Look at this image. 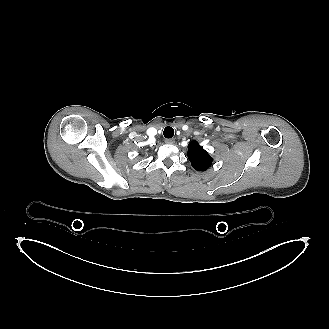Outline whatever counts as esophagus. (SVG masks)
Segmentation results:
<instances>
[{"label":"esophagus","mask_w":329,"mask_h":329,"mask_svg":"<svg viewBox=\"0 0 329 329\" xmlns=\"http://www.w3.org/2000/svg\"><path fill=\"white\" fill-rule=\"evenodd\" d=\"M165 143H166V144H174V143H175V140L172 139V138H170V139H166V140H165Z\"/></svg>","instance_id":"34e87169"}]
</instances>
